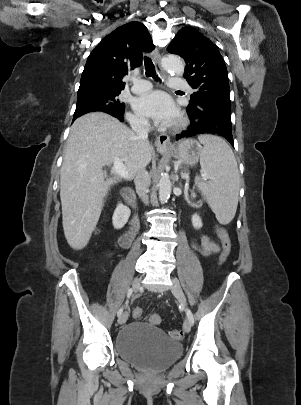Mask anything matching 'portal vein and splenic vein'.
Masks as SVG:
<instances>
[{
	"label": "portal vein and splenic vein",
	"instance_id": "1",
	"mask_svg": "<svg viewBox=\"0 0 301 405\" xmlns=\"http://www.w3.org/2000/svg\"><path fill=\"white\" fill-rule=\"evenodd\" d=\"M112 171L114 173H116L117 175H119L120 177H123V178L128 177V172H127L123 162L118 157L114 158V160H113ZM182 178H185L188 180L189 176H188V174H182Z\"/></svg>",
	"mask_w": 301,
	"mask_h": 405
}]
</instances>
